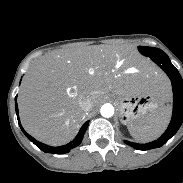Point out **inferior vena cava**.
<instances>
[{
    "instance_id": "inferior-vena-cava-1",
    "label": "inferior vena cava",
    "mask_w": 183,
    "mask_h": 183,
    "mask_svg": "<svg viewBox=\"0 0 183 183\" xmlns=\"http://www.w3.org/2000/svg\"><path fill=\"white\" fill-rule=\"evenodd\" d=\"M79 106L84 110V111H89L92 107V99L90 97H82L79 100Z\"/></svg>"
}]
</instances>
